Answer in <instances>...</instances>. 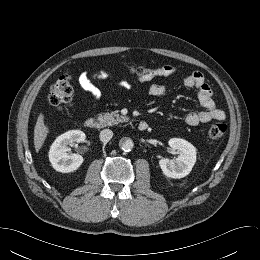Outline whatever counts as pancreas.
<instances>
[{"mask_svg": "<svg viewBox=\"0 0 260 260\" xmlns=\"http://www.w3.org/2000/svg\"><path fill=\"white\" fill-rule=\"evenodd\" d=\"M99 117L105 122L106 125L112 126L115 124L123 123L128 121V117L122 116L117 112L99 114Z\"/></svg>", "mask_w": 260, "mask_h": 260, "instance_id": "obj_1", "label": "pancreas"}]
</instances>
